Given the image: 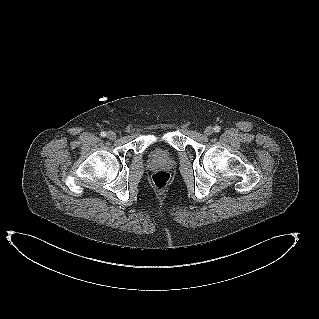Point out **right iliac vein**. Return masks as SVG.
Returning a JSON list of instances; mask_svg holds the SVG:
<instances>
[{
    "mask_svg": "<svg viewBox=\"0 0 319 319\" xmlns=\"http://www.w3.org/2000/svg\"><path fill=\"white\" fill-rule=\"evenodd\" d=\"M107 138L110 139V140H114L116 138V133L113 132V131H109L107 133Z\"/></svg>",
    "mask_w": 319,
    "mask_h": 319,
    "instance_id": "right-iliac-vein-1",
    "label": "right iliac vein"
}]
</instances>
